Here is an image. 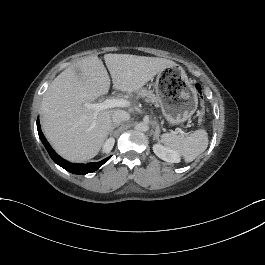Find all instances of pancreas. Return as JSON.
<instances>
[{"mask_svg": "<svg viewBox=\"0 0 265 265\" xmlns=\"http://www.w3.org/2000/svg\"><path fill=\"white\" fill-rule=\"evenodd\" d=\"M137 94H138L139 97L147 98L150 102H152L154 104L158 102L157 97L153 94L152 91L141 90Z\"/></svg>", "mask_w": 265, "mask_h": 265, "instance_id": "cf45deb5", "label": "pancreas"}]
</instances>
